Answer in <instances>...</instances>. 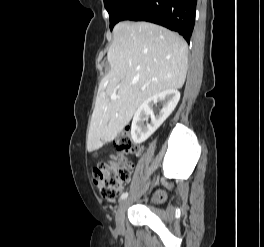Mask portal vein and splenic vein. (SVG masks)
<instances>
[{"label": "portal vein and splenic vein", "mask_w": 264, "mask_h": 247, "mask_svg": "<svg viewBox=\"0 0 264 247\" xmlns=\"http://www.w3.org/2000/svg\"><path fill=\"white\" fill-rule=\"evenodd\" d=\"M111 99L112 100H116V99H118V96L116 94H114V95L111 96Z\"/></svg>", "instance_id": "portal-vein-and-splenic-vein-1"}]
</instances>
